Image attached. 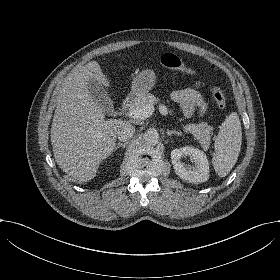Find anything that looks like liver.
Returning <instances> with one entry per match:
<instances>
[{"instance_id": "1", "label": "liver", "mask_w": 280, "mask_h": 280, "mask_svg": "<svg viewBox=\"0 0 280 280\" xmlns=\"http://www.w3.org/2000/svg\"><path fill=\"white\" fill-rule=\"evenodd\" d=\"M89 78L105 82L96 62L73 71L62 82L51 127L56 162L80 181L95 176L99 162L114 149L119 127L126 124L117 119L105 120L103 110L89 95Z\"/></svg>"}]
</instances>
